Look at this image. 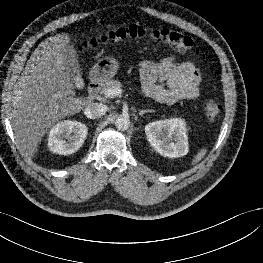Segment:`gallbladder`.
<instances>
[{
    "instance_id": "1",
    "label": "gallbladder",
    "mask_w": 263,
    "mask_h": 263,
    "mask_svg": "<svg viewBox=\"0 0 263 263\" xmlns=\"http://www.w3.org/2000/svg\"><path fill=\"white\" fill-rule=\"evenodd\" d=\"M64 64L71 78L75 81L80 80L81 69L78 61V55L74 48H67V51L64 54Z\"/></svg>"
}]
</instances>
